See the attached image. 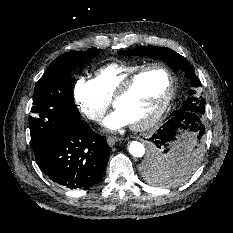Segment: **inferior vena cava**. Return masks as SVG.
<instances>
[{
  "label": "inferior vena cava",
  "mask_w": 233,
  "mask_h": 233,
  "mask_svg": "<svg viewBox=\"0 0 233 233\" xmlns=\"http://www.w3.org/2000/svg\"><path fill=\"white\" fill-rule=\"evenodd\" d=\"M103 115H94L93 119L96 121H100L102 119Z\"/></svg>",
  "instance_id": "1"
}]
</instances>
